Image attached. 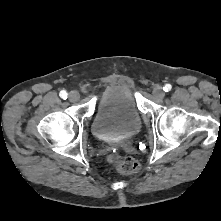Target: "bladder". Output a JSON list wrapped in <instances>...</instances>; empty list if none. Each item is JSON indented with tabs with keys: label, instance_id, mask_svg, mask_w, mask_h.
Masks as SVG:
<instances>
[{
	"label": "bladder",
	"instance_id": "31cf9c89",
	"mask_svg": "<svg viewBox=\"0 0 221 221\" xmlns=\"http://www.w3.org/2000/svg\"><path fill=\"white\" fill-rule=\"evenodd\" d=\"M142 126L140 112L131 89L111 85L101 94L92 120V132L103 141L132 138Z\"/></svg>",
	"mask_w": 221,
	"mask_h": 221
}]
</instances>
